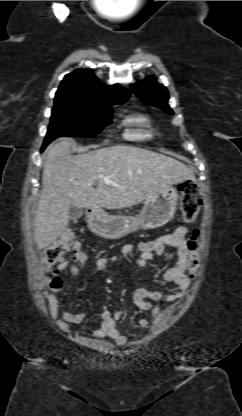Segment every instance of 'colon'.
<instances>
[{"label": "colon", "instance_id": "1", "mask_svg": "<svg viewBox=\"0 0 242 416\" xmlns=\"http://www.w3.org/2000/svg\"><path fill=\"white\" fill-rule=\"evenodd\" d=\"M202 200L198 184L194 180L185 181L181 185V211L185 223H192L201 207ZM188 250L187 266L192 277H196L200 269V243L198 231H194L186 242ZM71 253L76 260L84 258L80 242L70 232H64L46 250L44 261L49 273L46 285L48 295L57 293L62 285L57 277L54 267L63 261V258Z\"/></svg>", "mask_w": 242, "mask_h": 416}]
</instances>
